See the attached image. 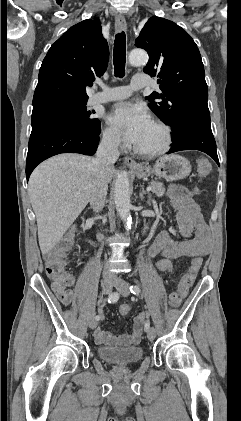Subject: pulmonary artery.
Wrapping results in <instances>:
<instances>
[{
	"instance_id": "1",
	"label": "pulmonary artery",
	"mask_w": 241,
	"mask_h": 421,
	"mask_svg": "<svg viewBox=\"0 0 241 421\" xmlns=\"http://www.w3.org/2000/svg\"><path fill=\"white\" fill-rule=\"evenodd\" d=\"M147 84L148 81L146 77L142 75H136L133 77L130 85L114 87L94 94L90 98V103L97 104L125 99L129 97L133 91L142 89Z\"/></svg>"
}]
</instances>
